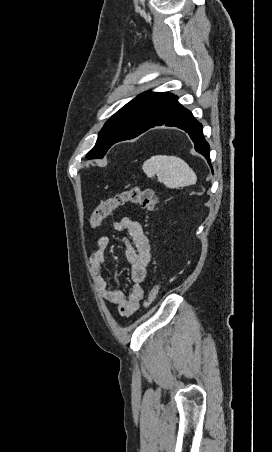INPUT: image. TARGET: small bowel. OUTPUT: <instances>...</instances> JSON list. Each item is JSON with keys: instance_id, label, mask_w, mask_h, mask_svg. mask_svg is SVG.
Wrapping results in <instances>:
<instances>
[{"instance_id": "obj_1", "label": "small bowel", "mask_w": 272, "mask_h": 452, "mask_svg": "<svg viewBox=\"0 0 272 452\" xmlns=\"http://www.w3.org/2000/svg\"><path fill=\"white\" fill-rule=\"evenodd\" d=\"M114 227L127 233L125 256L131 265V280L133 285L130 294L126 296L120 289H112L103 275L106 261V251L109 244L107 236L98 239L95 249L89 257L90 272L94 277L98 294L104 302L116 307L123 317H129L136 312L144 298V282L147 277L150 261V245L141 225L130 217L118 219Z\"/></svg>"}]
</instances>
